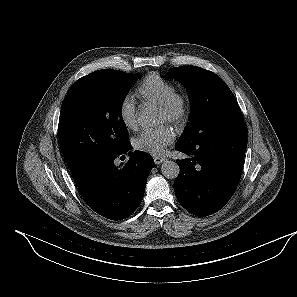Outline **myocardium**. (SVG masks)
<instances>
[{
	"instance_id": "myocardium-1",
	"label": "myocardium",
	"mask_w": 297,
	"mask_h": 297,
	"mask_svg": "<svg viewBox=\"0 0 297 297\" xmlns=\"http://www.w3.org/2000/svg\"><path fill=\"white\" fill-rule=\"evenodd\" d=\"M159 108L165 113L167 121L175 126H181L189 115V103L186 96L176 91L160 104Z\"/></svg>"
}]
</instances>
